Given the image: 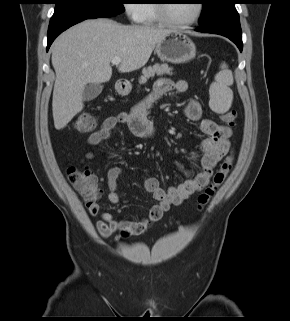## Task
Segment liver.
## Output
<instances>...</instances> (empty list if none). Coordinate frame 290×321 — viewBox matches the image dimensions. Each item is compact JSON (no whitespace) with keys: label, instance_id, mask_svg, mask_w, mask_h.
Here are the masks:
<instances>
[{"label":"liver","instance_id":"6515ba94","mask_svg":"<svg viewBox=\"0 0 290 321\" xmlns=\"http://www.w3.org/2000/svg\"><path fill=\"white\" fill-rule=\"evenodd\" d=\"M170 32L146 25H122L106 18L85 20L63 32L51 47L56 73L52 100L55 128H64L82 111L87 84L110 80L113 58H121V73L140 69Z\"/></svg>","mask_w":290,"mask_h":321}]
</instances>
